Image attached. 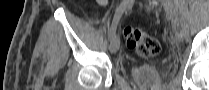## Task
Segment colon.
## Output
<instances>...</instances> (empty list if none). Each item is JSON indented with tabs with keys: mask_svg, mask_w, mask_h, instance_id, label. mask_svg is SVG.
Masks as SVG:
<instances>
[{
	"mask_svg": "<svg viewBox=\"0 0 209 90\" xmlns=\"http://www.w3.org/2000/svg\"><path fill=\"white\" fill-rule=\"evenodd\" d=\"M124 37L129 49L144 58L156 56L160 51V44L156 38L143 32L141 29L127 26L124 28Z\"/></svg>",
	"mask_w": 209,
	"mask_h": 90,
	"instance_id": "obj_1",
	"label": "colon"
}]
</instances>
